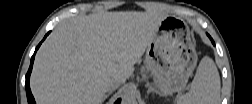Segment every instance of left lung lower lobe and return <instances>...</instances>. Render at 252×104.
I'll return each instance as SVG.
<instances>
[{
	"label": "left lung lower lobe",
	"mask_w": 252,
	"mask_h": 104,
	"mask_svg": "<svg viewBox=\"0 0 252 104\" xmlns=\"http://www.w3.org/2000/svg\"><path fill=\"white\" fill-rule=\"evenodd\" d=\"M208 35V37L211 39V41H212V43H213V45H214V41H213V39L211 38V36L209 35V34H207Z\"/></svg>",
	"instance_id": "left-lung-lower-lobe-1"
}]
</instances>
